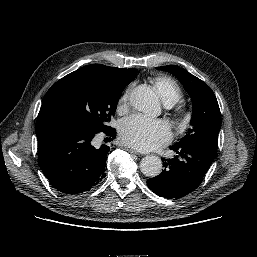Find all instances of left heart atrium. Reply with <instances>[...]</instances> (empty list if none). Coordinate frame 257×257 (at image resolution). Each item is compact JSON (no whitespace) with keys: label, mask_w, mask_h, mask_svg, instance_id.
<instances>
[{"label":"left heart atrium","mask_w":257,"mask_h":257,"mask_svg":"<svg viewBox=\"0 0 257 257\" xmlns=\"http://www.w3.org/2000/svg\"><path fill=\"white\" fill-rule=\"evenodd\" d=\"M119 137L127 146L140 151H150L168 144L171 132L163 121L133 115L121 122Z\"/></svg>","instance_id":"obj_1"}]
</instances>
